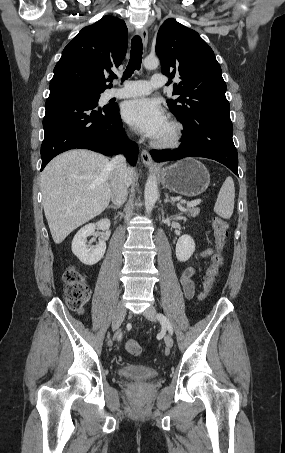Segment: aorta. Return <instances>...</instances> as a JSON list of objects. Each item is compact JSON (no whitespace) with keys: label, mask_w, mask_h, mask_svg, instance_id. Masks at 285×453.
Here are the masks:
<instances>
[{"label":"aorta","mask_w":285,"mask_h":453,"mask_svg":"<svg viewBox=\"0 0 285 453\" xmlns=\"http://www.w3.org/2000/svg\"><path fill=\"white\" fill-rule=\"evenodd\" d=\"M143 64L146 69H155L159 66V59L157 57L148 56L144 59ZM144 198L146 212L149 214L158 199V185L155 175H150L147 179Z\"/></svg>","instance_id":"1"}]
</instances>
